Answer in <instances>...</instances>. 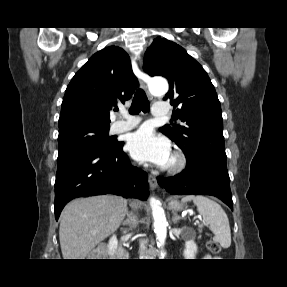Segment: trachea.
Returning a JSON list of instances; mask_svg holds the SVG:
<instances>
[{
    "label": "trachea",
    "mask_w": 287,
    "mask_h": 287,
    "mask_svg": "<svg viewBox=\"0 0 287 287\" xmlns=\"http://www.w3.org/2000/svg\"><path fill=\"white\" fill-rule=\"evenodd\" d=\"M150 109L148 98L142 89H138L132 101V105L129 109V113L132 115L138 114L141 110L147 113Z\"/></svg>",
    "instance_id": "3493384b"
}]
</instances>
